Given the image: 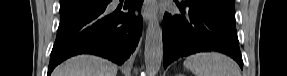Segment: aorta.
<instances>
[{
  "label": "aorta",
  "mask_w": 287,
  "mask_h": 76,
  "mask_svg": "<svg viewBox=\"0 0 287 76\" xmlns=\"http://www.w3.org/2000/svg\"><path fill=\"white\" fill-rule=\"evenodd\" d=\"M145 66L151 76H155L163 59L162 30L156 16L150 19L145 37Z\"/></svg>",
  "instance_id": "aorta-1"
}]
</instances>
